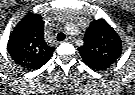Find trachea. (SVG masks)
<instances>
[{
  "mask_svg": "<svg viewBox=\"0 0 135 95\" xmlns=\"http://www.w3.org/2000/svg\"><path fill=\"white\" fill-rule=\"evenodd\" d=\"M66 35L62 32H60L58 35H57V40L58 41H63L65 39Z\"/></svg>",
  "mask_w": 135,
  "mask_h": 95,
  "instance_id": "obj_1",
  "label": "trachea"
}]
</instances>
